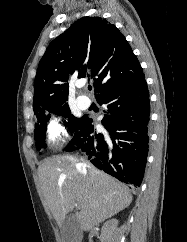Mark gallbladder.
<instances>
[{"label": "gallbladder", "mask_w": 187, "mask_h": 242, "mask_svg": "<svg viewBox=\"0 0 187 242\" xmlns=\"http://www.w3.org/2000/svg\"><path fill=\"white\" fill-rule=\"evenodd\" d=\"M80 232L74 214H68L61 225L62 242H78Z\"/></svg>", "instance_id": "bac80fb5"}]
</instances>
